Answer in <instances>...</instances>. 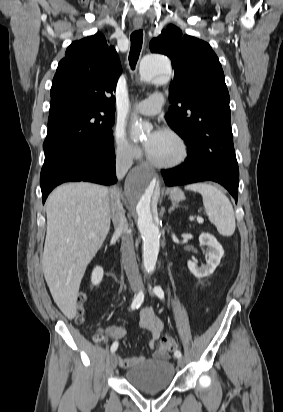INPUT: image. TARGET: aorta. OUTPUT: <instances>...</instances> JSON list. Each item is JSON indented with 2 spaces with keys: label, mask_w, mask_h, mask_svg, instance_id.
Listing matches in <instances>:
<instances>
[{
  "label": "aorta",
  "mask_w": 283,
  "mask_h": 412,
  "mask_svg": "<svg viewBox=\"0 0 283 412\" xmlns=\"http://www.w3.org/2000/svg\"><path fill=\"white\" fill-rule=\"evenodd\" d=\"M172 73L170 61L161 55L145 58L139 69L141 82L161 84L168 81ZM149 124H142L136 116L133 117L132 136L139 138L141 133L150 129ZM156 187L155 176L145 170L135 171L127 180L126 193L137 202L138 229L143 239V264L146 272L155 270L159 253L160 232L151 213V198Z\"/></svg>",
  "instance_id": "1"
}]
</instances>
